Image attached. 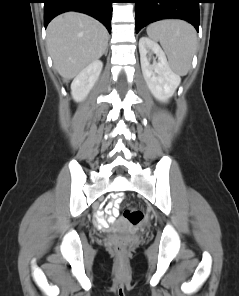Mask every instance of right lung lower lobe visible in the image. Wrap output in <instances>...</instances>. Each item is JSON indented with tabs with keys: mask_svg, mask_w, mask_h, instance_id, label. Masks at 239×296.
Returning a JSON list of instances; mask_svg holds the SVG:
<instances>
[{
	"mask_svg": "<svg viewBox=\"0 0 239 296\" xmlns=\"http://www.w3.org/2000/svg\"><path fill=\"white\" fill-rule=\"evenodd\" d=\"M44 26L58 14L78 11L102 22L111 33L112 3L114 0H43Z\"/></svg>",
	"mask_w": 239,
	"mask_h": 296,
	"instance_id": "98d812e1",
	"label": "right lung lower lobe"
}]
</instances>
